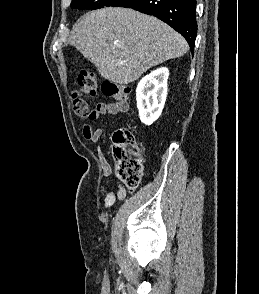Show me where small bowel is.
Instances as JSON below:
<instances>
[{"instance_id": "1", "label": "small bowel", "mask_w": 259, "mask_h": 294, "mask_svg": "<svg viewBox=\"0 0 259 294\" xmlns=\"http://www.w3.org/2000/svg\"><path fill=\"white\" fill-rule=\"evenodd\" d=\"M127 109H128V106L125 102H121V101L112 102V103L100 102L96 105L92 116L89 118L91 120H95L99 118L100 116L116 115V114L124 113L127 111ZM82 133L86 140L96 144L100 142L103 136L102 129L100 128L93 129L92 126L86 122L83 124ZM97 152H98V157L100 159L103 176L108 177L111 173L110 164L107 162L104 156V153L100 147H98ZM125 196H126L125 188L121 185H118L114 190L106 194L104 199L105 208L112 207L116 203V201L123 200Z\"/></svg>"}]
</instances>
